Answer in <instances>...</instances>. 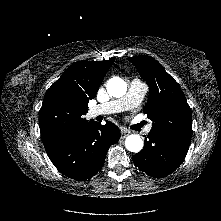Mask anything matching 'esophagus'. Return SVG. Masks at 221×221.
I'll return each mask as SVG.
<instances>
[{"instance_id": "esophagus-1", "label": "esophagus", "mask_w": 221, "mask_h": 221, "mask_svg": "<svg viewBox=\"0 0 221 221\" xmlns=\"http://www.w3.org/2000/svg\"><path fill=\"white\" fill-rule=\"evenodd\" d=\"M130 134V131L126 130V129H121V136L122 138L127 137Z\"/></svg>"}]
</instances>
